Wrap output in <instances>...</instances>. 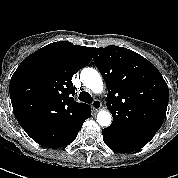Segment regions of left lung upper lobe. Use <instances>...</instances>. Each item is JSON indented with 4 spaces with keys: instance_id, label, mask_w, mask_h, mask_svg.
<instances>
[{
    "instance_id": "1",
    "label": "left lung upper lobe",
    "mask_w": 178,
    "mask_h": 178,
    "mask_svg": "<svg viewBox=\"0 0 178 178\" xmlns=\"http://www.w3.org/2000/svg\"><path fill=\"white\" fill-rule=\"evenodd\" d=\"M94 62L108 89L112 124L104 130L140 147L161 127L169 101L168 86L158 69L127 48H93Z\"/></svg>"
}]
</instances>
